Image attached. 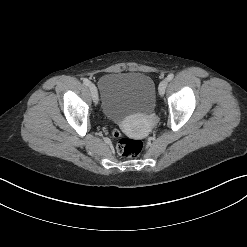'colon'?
<instances>
[{
    "instance_id": "1",
    "label": "colon",
    "mask_w": 247,
    "mask_h": 247,
    "mask_svg": "<svg viewBox=\"0 0 247 247\" xmlns=\"http://www.w3.org/2000/svg\"><path fill=\"white\" fill-rule=\"evenodd\" d=\"M113 136L118 139L117 151L124 157H136L143 150V143L137 139L123 138L117 130L112 132Z\"/></svg>"
}]
</instances>
